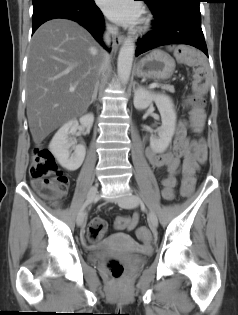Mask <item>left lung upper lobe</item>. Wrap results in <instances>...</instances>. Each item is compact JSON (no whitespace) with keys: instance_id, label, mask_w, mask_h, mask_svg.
<instances>
[{"instance_id":"obj_1","label":"left lung upper lobe","mask_w":238,"mask_h":315,"mask_svg":"<svg viewBox=\"0 0 238 315\" xmlns=\"http://www.w3.org/2000/svg\"><path fill=\"white\" fill-rule=\"evenodd\" d=\"M144 1H146L149 4H156V2L160 0H144Z\"/></svg>"}]
</instances>
